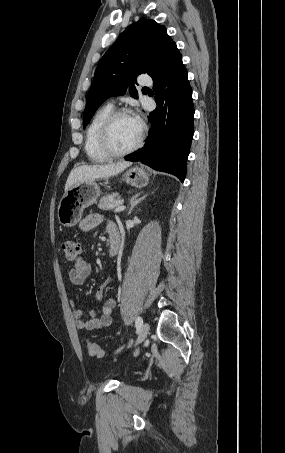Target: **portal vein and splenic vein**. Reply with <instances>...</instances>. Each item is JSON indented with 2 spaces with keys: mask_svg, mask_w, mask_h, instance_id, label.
I'll return each instance as SVG.
<instances>
[{
  "mask_svg": "<svg viewBox=\"0 0 285 453\" xmlns=\"http://www.w3.org/2000/svg\"><path fill=\"white\" fill-rule=\"evenodd\" d=\"M125 206L122 204V202L119 203V205L116 207L115 212H121L125 210Z\"/></svg>",
  "mask_w": 285,
  "mask_h": 453,
  "instance_id": "1",
  "label": "portal vein and splenic vein"
}]
</instances>
